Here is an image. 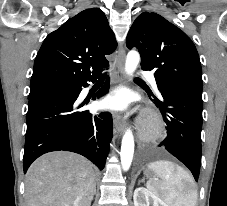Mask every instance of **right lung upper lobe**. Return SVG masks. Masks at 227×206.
<instances>
[{
    "label": "right lung upper lobe",
    "mask_w": 227,
    "mask_h": 206,
    "mask_svg": "<svg viewBox=\"0 0 227 206\" xmlns=\"http://www.w3.org/2000/svg\"><path fill=\"white\" fill-rule=\"evenodd\" d=\"M116 46L104 12L99 8L86 9L45 38L35 58L31 83H77L98 77L108 65L105 55Z\"/></svg>",
    "instance_id": "1"
}]
</instances>
